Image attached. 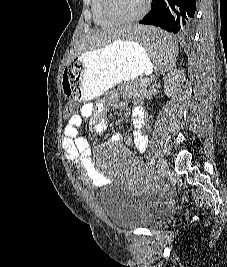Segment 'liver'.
<instances>
[{"label":"liver","mask_w":227,"mask_h":267,"mask_svg":"<svg viewBox=\"0 0 227 267\" xmlns=\"http://www.w3.org/2000/svg\"><path fill=\"white\" fill-rule=\"evenodd\" d=\"M124 33H128V30H118V27L92 30L75 44L70 53L68 63L76 56L94 49L102 48L109 43L120 39Z\"/></svg>","instance_id":"liver-1"}]
</instances>
